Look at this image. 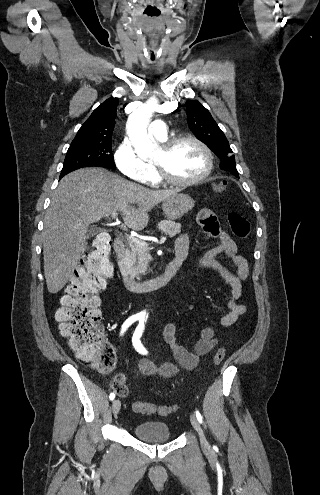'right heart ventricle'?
Returning a JSON list of instances; mask_svg holds the SVG:
<instances>
[{
    "label": "right heart ventricle",
    "instance_id": "1",
    "mask_svg": "<svg viewBox=\"0 0 320 495\" xmlns=\"http://www.w3.org/2000/svg\"><path fill=\"white\" fill-rule=\"evenodd\" d=\"M150 166H151V165H150ZM151 167H152V166H151ZM157 182H158V179H155V180H154V183H157Z\"/></svg>",
    "mask_w": 320,
    "mask_h": 495
}]
</instances>
